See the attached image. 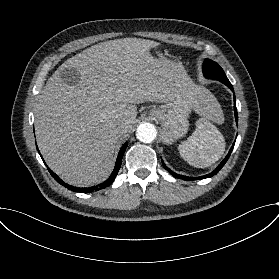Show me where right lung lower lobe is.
<instances>
[{"label":"right lung lower lobe","mask_w":279,"mask_h":279,"mask_svg":"<svg viewBox=\"0 0 279 279\" xmlns=\"http://www.w3.org/2000/svg\"><path fill=\"white\" fill-rule=\"evenodd\" d=\"M127 145H128V143H125L122 146L121 150L119 151L114 170H113L112 174L110 175V177L106 181H104L103 183L98 184L96 186H91V187H86V188H79V187L70 186L69 184L64 183L52 170H50L48 167L47 168H48L50 174L53 176V178L58 183H60L61 185H63L64 187L68 188L71 191L80 192V193H91V192H94V191L105 189L106 187L110 186L113 183V181H114V179H115V177H116V175H117V173L120 169L122 157L124 155V152L126 150Z\"/></svg>","instance_id":"obj_1"}]
</instances>
